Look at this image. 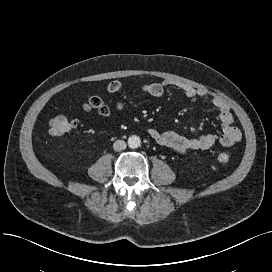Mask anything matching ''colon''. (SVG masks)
Masks as SVG:
<instances>
[{"instance_id":"5ec220e1","label":"colon","mask_w":272,"mask_h":272,"mask_svg":"<svg viewBox=\"0 0 272 272\" xmlns=\"http://www.w3.org/2000/svg\"><path fill=\"white\" fill-rule=\"evenodd\" d=\"M83 107L87 111H96L102 116H106L109 113L108 107L102 102V100L96 96H89L86 98ZM74 124L64 116H56L50 120L49 133L52 136H61L74 129ZM217 160L221 163H228L231 157L226 152H220L217 154Z\"/></svg>"}]
</instances>
